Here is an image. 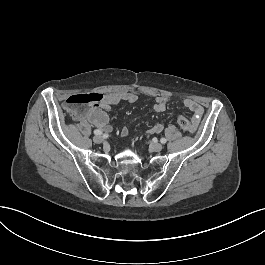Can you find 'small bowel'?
Returning <instances> with one entry per match:
<instances>
[{"instance_id":"c3829d8e","label":"small bowel","mask_w":265,"mask_h":265,"mask_svg":"<svg viewBox=\"0 0 265 265\" xmlns=\"http://www.w3.org/2000/svg\"><path fill=\"white\" fill-rule=\"evenodd\" d=\"M138 99V94L135 92L128 91H114L104 95L103 99L96 105H92L79 112L74 113L76 120L82 124H91L97 128L106 129L108 127V112L112 106L119 103H134ZM170 98L164 95H158L155 97V103L153 109L155 112L161 113L166 109V106ZM182 105L192 112V116L187 120L190 121V132H194L201 121L204 113L203 106L194 99L183 98ZM183 117V116H182ZM163 129V125L158 123L155 124L151 132L159 133ZM129 134L128 128L123 127L120 131V135L126 138Z\"/></svg>"}]
</instances>
